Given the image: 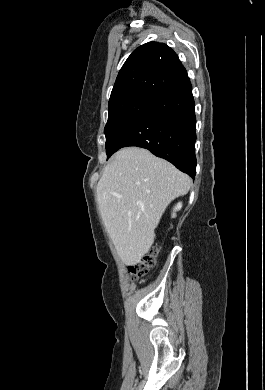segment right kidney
<instances>
[{"label": "right kidney", "instance_id": "ca27d5eb", "mask_svg": "<svg viewBox=\"0 0 265 390\" xmlns=\"http://www.w3.org/2000/svg\"><path fill=\"white\" fill-rule=\"evenodd\" d=\"M181 207H182V203H178V204L175 206L174 211H173V214H172V217H175V216H176L175 212L178 211V210H180Z\"/></svg>", "mask_w": 265, "mask_h": 390}]
</instances>
